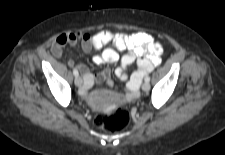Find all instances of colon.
Listing matches in <instances>:
<instances>
[{
	"label": "colon",
	"instance_id": "1",
	"mask_svg": "<svg viewBox=\"0 0 225 155\" xmlns=\"http://www.w3.org/2000/svg\"><path fill=\"white\" fill-rule=\"evenodd\" d=\"M131 121L130 112L123 108H117L105 115H99L95 118V125L109 133L120 132L124 130Z\"/></svg>",
	"mask_w": 225,
	"mask_h": 155
}]
</instances>
